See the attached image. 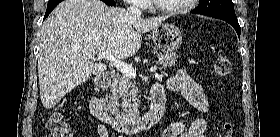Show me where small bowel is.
I'll return each instance as SVG.
<instances>
[{"mask_svg": "<svg viewBox=\"0 0 280 137\" xmlns=\"http://www.w3.org/2000/svg\"><path fill=\"white\" fill-rule=\"evenodd\" d=\"M166 88L185 96L199 112L209 110V103L204 88L199 85L185 70L180 69L168 79ZM208 126L200 118L187 122L177 121L169 125L160 137H207Z\"/></svg>", "mask_w": 280, "mask_h": 137, "instance_id": "1", "label": "small bowel"}]
</instances>
